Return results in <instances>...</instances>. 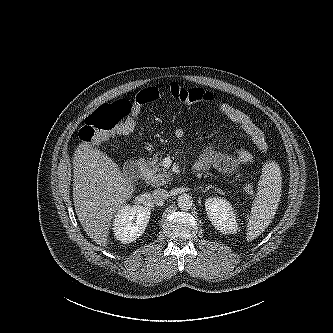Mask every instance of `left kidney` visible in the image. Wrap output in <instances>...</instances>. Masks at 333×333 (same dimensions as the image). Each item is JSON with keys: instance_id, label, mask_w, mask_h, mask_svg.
<instances>
[{"instance_id": "obj_1", "label": "left kidney", "mask_w": 333, "mask_h": 333, "mask_svg": "<svg viewBox=\"0 0 333 333\" xmlns=\"http://www.w3.org/2000/svg\"><path fill=\"white\" fill-rule=\"evenodd\" d=\"M205 209L215 229L223 234L237 232V217L229 201L221 197L208 198L205 201Z\"/></svg>"}]
</instances>
